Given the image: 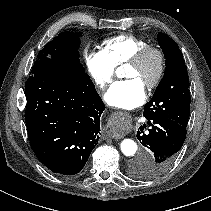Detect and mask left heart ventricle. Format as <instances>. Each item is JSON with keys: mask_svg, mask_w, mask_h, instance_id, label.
I'll return each mask as SVG.
<instances>
[{"mask_svg": "<svg viewBox=\"0 0 211 211\" xmlns=\"http://www.w3.org/2000/svg\"><path fill=\"white\" fill-rule=\"evenodd\" d=\"M157 71V59L154 55H149L141 64H128L126 67V77L138 79L144 86L150 82Z\"/></svg>", "mask_w": 211, "mask_h": 211, "instance_id": "b2bd125f", "label": "left heart ventricle"}]
</instances>
